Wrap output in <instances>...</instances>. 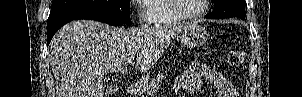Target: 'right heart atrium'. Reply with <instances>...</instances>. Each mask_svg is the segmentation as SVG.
Returning a JSON list of instances; mask_svg holds the SVG:
<instances>
[{
  "instance_id": "1",
  "label": "right heart atrium",
  "mask_w": 302,
  "mask_h": 97,
  "mask_svg": "<svg viewBox=\"0 0 302 97\" xmlns=\"http://www.w3.org/2000/svg\"><path fill=\"white\" fill-rule=\"evenodd\" d=\"M150 0H144V1H138V2H143V3H145V2H149ZM137 17H138V19L141 21V22H143V23H148V22H151V18H150V16L148 15V13H147V11L145 10V8L144 7H142V6H139L138 8H137Z\"/></svg>"
}]
</instances>
